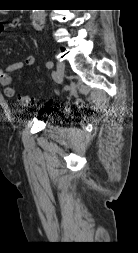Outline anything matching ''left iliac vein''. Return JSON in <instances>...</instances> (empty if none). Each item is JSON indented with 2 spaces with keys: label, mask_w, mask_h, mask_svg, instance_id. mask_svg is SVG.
Instances as JSON below:
<instances>
[{
  "label": "left iliac vein",
  "mask_w": 138,
  "mask_h": 253,
  "mask_svg": "<svg viewBox=\"0 0 138 253\" xmlns=\"http://www.w3.org/2000/svg\"><path fill=\"white\" fill-rule=\"evenodd\" d=\"M56 77L59 82H61L64 78L65 74V64L62 62H58L56 66Z\"/></svg>",
  "instance_id": "4c4485c4"
}]
</instances>
